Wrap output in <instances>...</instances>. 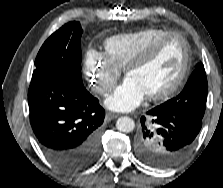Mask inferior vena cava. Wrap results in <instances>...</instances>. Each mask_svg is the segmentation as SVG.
<instances>
[{
  "mask_svg": "<svg viewBox=\"0 0 223 188\" xmlns=\"http://www.w3.org/2000/svg\"><path fill=\"white\" fill-rule=\"evenodd\" d=\"M95 92L97 93H104L105 92V89L101 88V87H95Z\"/></svg>",
  "mask_w": 223,
  "mask_h": 188,
  "instance_id": "obj_1",
  "label": "inferior vena cava"
}]
</instances>
